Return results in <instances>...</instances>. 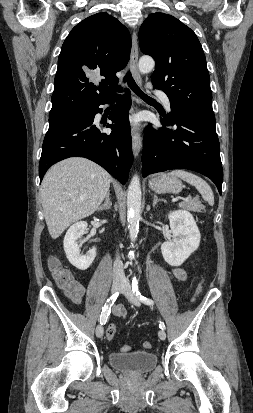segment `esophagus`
<instances>
[{
	"instance_id": "esophagus-1",
	"label": "esophagus",
	"mask_w": 253,
	"mask_h": 413,
	"mask_svg": "<svg viewBox=\"0 0 253 413\" xmlns=\"http://www.w3.org/2000/svg\"><path fill=\"white\" fill-rule=\"evenodd\" d=\"M130 67H131V72L135 80L141 84V77L138 71V38L137 34L134 31L132 33V48H131V58H130ZM136 102H139V99L135 98ZM132 149H133V154L136 157H138L141 148H142V137H141V132L138 128H134L132 130Z\"/></svg>"
}]
</instances>
